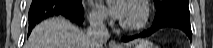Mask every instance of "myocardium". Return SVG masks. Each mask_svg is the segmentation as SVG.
<instances>
[{
  "instance_id": "myocardium-1",
  "label": "myocardium",
  "mask_w": 213,
  "mask_h": 48,
  "mask_svg": "<svg viewBox=\"0 0 213 48\" xmlns=\"http://www.w3.org/2000/svg\"><path fill=\"white\" fill-rule=\"evenodd\" d=\"M128 5L137 7L141 11L142 17L137 23L134 24H128L123 20H120L121 28L128 32H135L143 29L147 25L151 13L150 8L148 7L146 1L131 0L129 1Z\"/></svg>"
}]
</instances>
